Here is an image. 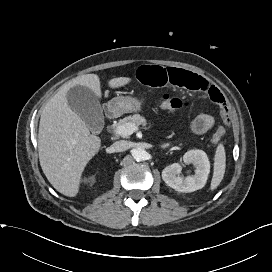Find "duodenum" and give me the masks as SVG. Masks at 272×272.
Instances as JSON below:
<instances>
[{"label":"duodenum","instance_id":"obj_1","mask_svg":"<svg viewBox=\"0 0 272 272\" xmlns=\"http://www.w3.org/2000/svg\"><path fill=\"white\" fill-rule=\"evenodd\" d=\"M106 116L108 119H112L114 117V113L112 110H107L106 111Z\"/></svg>","mask_w":272,"mask_h":272}]
</instances>
